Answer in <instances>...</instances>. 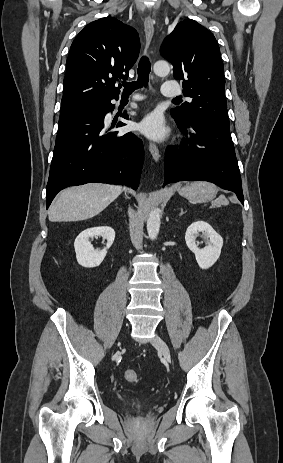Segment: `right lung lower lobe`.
Wrapping results in <instances>:
<instances>
[{"label":"right lung lower lobe","mask_w":283,"mask_h":463,"mask_svg":"<svg viewBox=\"0 0 283 463\" xmlns=\"http://www.w3.org/2000/svg\"><path fill=\"white\" fill-rule=\"evenodd\" d=\"M92 101L60 115L58 134L46 188V207L56 194L68 187L89 182L126 184L137 189L144 160L142 141L133 133L112 131L105 115L112 111V99ZM128 119L126 113L123 114Z\"/></svg>","instance_id":"right-lung-lower-lobe-1"}]
</instances>
